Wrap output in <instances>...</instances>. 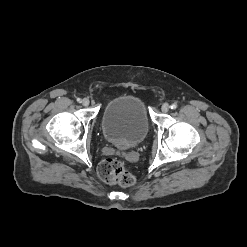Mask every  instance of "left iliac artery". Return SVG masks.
Returning a JSON list of instances; mask_svg holds the SVG:
<instances>
[{
    "instance_id": "44dca946",
    "label": "left iliac artery",
    "mask_w": 247,
    "mask_h": 247,
    "mask_svg": "<svg viewBox=\"0 0 247 247\" xmlns=\"http://www.w3.org/2000/svg\"><path fill=\"white\" fill-rule=\"evenodd\" d=\"M170 108H171L172 110H175V109L177 108V104H176V103H173V104L170 106Z\"/></svg>"
}]
</instances>
